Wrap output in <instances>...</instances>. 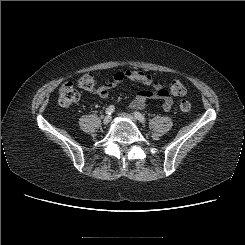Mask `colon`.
Returning a JSON list of instances; mask_svg holds the SVG:
<instances>
[{
  "mask_svg": "<svg viewBox=\"0 0 245 245\" xmlns=\"http://www.w3.org/2000/svg\"><path fill=\"white\" fill-rule=\"evenodd\" d=\"M75 85L89 92H94L100 88L96 77L92 73H85L76 80V83L67 82L60 87L58 102L61 106H70L78 100L79 92ZM168 93L176 97L183 96L186 93V88L180 81L173 80L168 85ZM191 107V103L187 100H183L179 105L180 110L185 113L189 112Z\"/></svg>",
  "mask_w": 245,
  "mask_h": 245,
  "instance_id": "colon-1",
  "label": "colon"
}]
</instances>
